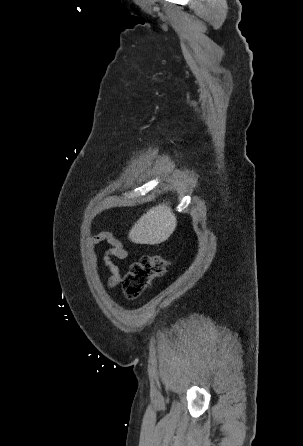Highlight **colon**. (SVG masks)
<instances>
[{
    "instance_id": "colon-1",
    "label": "colon",
    "mask_w": 303,
    "mask_h": 446,
    "mask_svg": "<svg viewBox=\"0 0 303 446\" xmlns=\"http://www.w3.org/2000/svg\"><path fill=\"white\" fill-rule=\"evenodd\" d=\"M168 262L157 255H147L133 262L129 266L123 280L126 296L131 299L139 297L150 282L163 275Z\"/></svg>"
}]
</instances>
